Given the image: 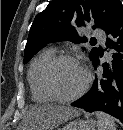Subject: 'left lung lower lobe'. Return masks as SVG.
I'll return each instance as SVG.
<instances>
[{
  "label": "left lung lower lobe",
  "instance_id": "obj_1",
  "mask_svg": "<svg viewBox=\"0 0 123 130\" xmlns=\"http://www.w3.org/2000/svg\"><path fill=\"white\" fill-rule=\"evenodd\" d=\"M106 46L113 50L112 61L104 63L103 73L94 80L93 86L83 99L72 106L87 112L103 111L123 122V8L115 24L106 31ZM99 54L92 60L99 65Z\"/></svg>",
  "mask_w": 123,
  "mask_h": 130
}]
</instances>
